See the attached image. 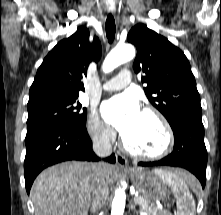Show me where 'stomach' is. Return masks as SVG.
<instances>
[{
    "label": "stomach",
    "mask_w": 221,
    "mask_h": 215,
    "mask_svg": "<svg viewBox=\"0 0 221 215\" xmlns=\"http://www.w3.org/2000/svg\"><path fill=\"white\" fill-rule=\"evenodd\" d=\"M130 177L136 190L150 202L166 200L170 195L166 181L156 170L135 169L130 173Z\"/></svg>",
    "instance_id": "obj_1"
}]
</instances>
